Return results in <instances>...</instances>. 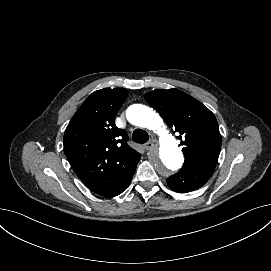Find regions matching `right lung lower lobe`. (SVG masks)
Listing matches in <instances>:
<instances>
[{"label":"right lung lower lobe","instance_id":"98d812e1","mask_svg":"<svg viewBox=\"0 0 271 271\" xmlns=\"http://www.w3.org/2000/svg\"><path fill=\"white\" fill-rule=\"evenodd\" d=\"M137 163L130 170L124 173L120 172V179L116 181V184L111 185L110 187L97 194L104 197H114L121 194L129 186L135 172Z\"/></svg>","mask_w":271,"mask_h":271}]
</instances>
